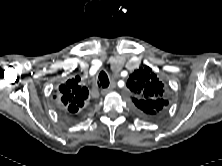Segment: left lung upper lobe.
I'll return each instance as SVG.
<instances>
[{
	"label": "left lung upper lobe",
	"instance_id": "5c2ea615",
	"mask_svg": "<svg viewBox=\"0 0 222 166\" xmlns=\"http://www.w3.org/2000/svg\"><path fill=\"white\" fill-rule=\"evenodd\" d=\"M127 87L135 94L133 103L145 114L154 115L168 104L162 98V82L148 66L134 71L127 81Z\"/></svg>",
	"mask_w": 222,
	"mask_h": 166
}]
</instances>
